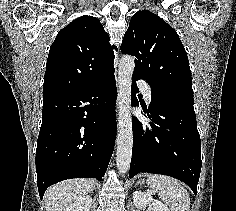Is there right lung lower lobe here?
Returning a JSON list of instances; mask_svg holds the SVG:
<instances>
[{"label":"right lung lower lobe","mask_w":236,"mask_h":211,"mask_svg":"<svg viewBox=\"0 0 236 211\" xmlns=\"http://www.w3.org/2000/svg\"><path fill=\"white\" fill-rule=\"evenodd\" d=\"M116 98L114 72L83 91L44 98L36 149L41 199L62 180L102 179L115 145Z\"/></svg>","instance_id":"right-lung-lower-lobe-1"}]
</instances>
